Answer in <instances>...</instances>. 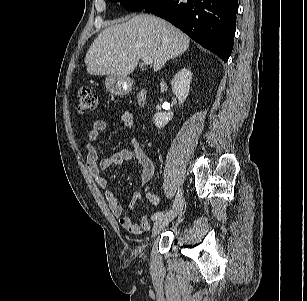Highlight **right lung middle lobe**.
Here are the masks:
<instances>
[{"instance_id":"dd1d6c3e","label":"right lung middle lobe","mask_w":307,"mask_h":301,"mask_svg":"<svg viewBox=\"0 0 307 301\" xmlns=\"http://www.w3.org/2000/svg\"><path fill=\"white\" fill-rule=\"evenodd\" d=\"M112 2H120L123 7L129 11H140L158 0H111Z\"/></svg>"}]
</instances>
